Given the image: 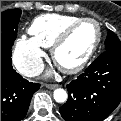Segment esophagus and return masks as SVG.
Wrapping results in <instances>:
<instances>
[{
  "mask_svg": "<svg viewBox=\"0 0 121 121\" xmlns=\"http://www.w3.org/2000/svg\"><path fill=\"white\" fill-rule=\"evenodd\" d=\"M46 87L48 89H55V88L59 87V85L58 84H46Z\"/></svg>",
  "mask_w": 121,
  "mask_h": 121,
  "instance_id": "34e87169",
  "label": "esophagus"
}]
</instances>
